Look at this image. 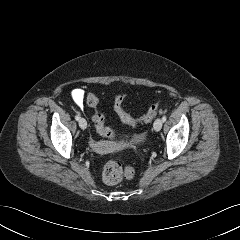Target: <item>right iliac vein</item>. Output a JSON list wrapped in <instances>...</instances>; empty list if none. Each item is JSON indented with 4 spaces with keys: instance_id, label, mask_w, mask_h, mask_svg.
I'll use <instances>...</instances> for the list:
<instances>
[{
    "instance_id": "right-iliac-vein-1",
    "label": "right iliac vein",
    "mask_w": 240,
    "mask_h": 240,
    "mask_svg": "<svg viewBox=\"0 0 240 240\" xmlns=\"http://www.w3.org/2000/svg\"><path fill=\"white\" fill-rule=\"evenodd\" d=\"M79 126H80V128L81 129H86V127H87V122H86V120L84 119V118H80L79 119Z\"/></svg>"
}]
</instances>
